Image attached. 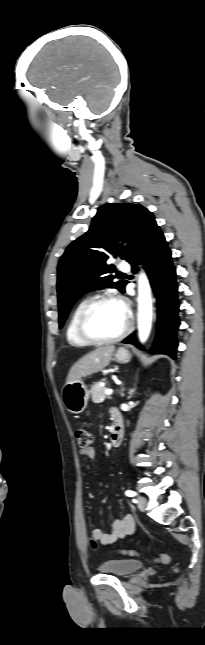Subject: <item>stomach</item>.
<instances>
[{
  "label": "stomach",
  "mask_w": 205,
  "mask_h": 645,
  "mask_svg": "<svg viewBox=\"0 0 205 645\" xmlns=\"http://www.w3.org/2000/svg\"><path fill=\"white\" fill-rule=\"evenodd\" d=\"M115 360L119 363H128L131 359V354L126 348H119L114 355ZM90 391L84 382L76 380L67 383L62 388V401L65 408L74 414L82 413L87 407Z\"/></svg>",
  "instance_id": "1"
}]
</instances>
